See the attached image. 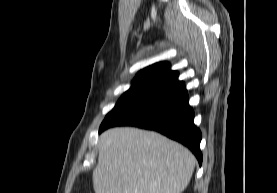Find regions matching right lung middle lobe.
I'll return each instance as SVG.
<instances>
[{
	"mask_svg": "<svg viewBox=\"0 0 277 193\" xmlns=\"http://www.w3.org/2000/svg\"><path fill=\"white\" fill-rule=\"evenodd\" d=\"M145 95H147V94L142 93V92H133V91L125 92L121 96V98L119 99V101L117 102L115 107L112 109V111L107 114V116L105 117L102 124L109 121L114 115L121 112L125 108H127V107L131 106L132 104L136 103L137 101H139Z\"/></svg>",
	"mask_w": 277,
	"mask_h": 193,
	"instance_id": "dd1d6c3e",
	"label": "right lung middle lobe"
}]
</instances>
